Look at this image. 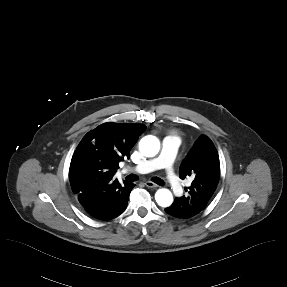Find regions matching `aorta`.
Listing matches in <instances>:
<instances>
[{"label": "aorta", "mask_w": 287, "mask_h": 287, "mask_svg": "<svg viewBox=\"0 0 287 287\" xmlns=\"http://www.w3.org/2000/svg\"><path fill=\"white\" fill-rule=\"evenodd\" d=\"M160 142L157 137L148 135L139 142V150L146 157H154L158 154ZM155 200L161 207H169L173 203V195L170 190L162 188L155 193Z\"/></svg>", "instance_id": "1"}]
</instances>
